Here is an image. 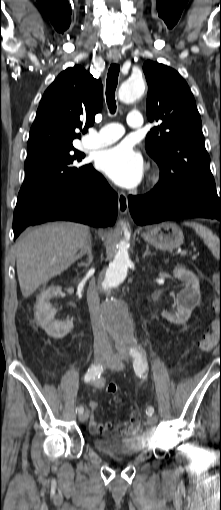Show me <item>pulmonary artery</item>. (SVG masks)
Here are the masks:
<instances>
[{
	"label": "pulmonary artery",
	"mask_w": 221,
	"mask_h": 510,
	"mask_svg": "<svg viewBox=\"0 0 221 510\" xmlns=\"http://www.w3.org/2000/svg\"><path fill=\"white\" fill-rule=\"evenodd\" d=\"M128 125L131 128H140L143 119L140 112L132 111L128 117ZM124 134V129L117 123H108L97 131L89 133L86 145L89 148H102L119 140Z\"/></svg>",
	"instance_id": "obj_1"
}]
</instances>
